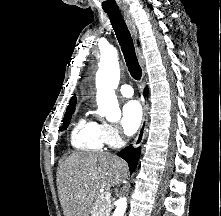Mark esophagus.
<instances>
[{"label":"esophagus","instance_id":"esophagus-1","mask_svg":"<svg viewBox=\"0 0 221 216\" xmlns=\"http://www.w3.org/2000/svg\"><path fill=\"white\" fill-rule=\"evenodd\" d=\"M124 20L126 21L127 25L129 26L131 33L133 34L134 38H137V28L135 26L134 23V19L130 13V11L123 9L121 11ZM137 51L138 53H140V49L137 46ZM146 86H147V80H146V75L145 73H143V77H142V87H143V93H142V108H143V118H142V122H141V126L139 128L138 134L134 140V148H138L141 146V144L143 143V140L145 138V133H146V126H147V119H148V102H147V98H146Z\"/></svg>","mask_w":221,"mask_h":216}]
</instances>
